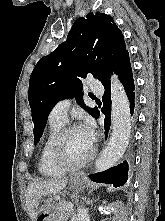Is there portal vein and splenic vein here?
I'll list each match as a JSON object with an SVG mask.
<instances>
[{
	"mask_svg": "<svg viewBox=\"0 0 165 221\" xmlns=\"http://www.w3.org/2000/svg\"><path fill=\"white\" fill-rule=\"evenodd\" d=\"M66 205H67L69 208L73 209V204L67 203Z\"/></svg>",
	"mask_w": 165,
	"mask_h": 221,
	"instance_id": "1",
	"label": "portal vein and splenic vein"
}]
</instances>
